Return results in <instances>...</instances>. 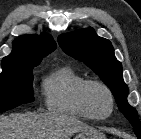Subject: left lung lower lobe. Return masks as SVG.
<instances>
[{"mask_svg":"<svg viewBox=\"0 0 141 139\" xmlns=\"http://www.w3.org/2000/svg\"><path fill=\"white\" fill-rule=\"evenodd\" d=\"M138 139H141V136H138Z\"/></svg>","mask_w":141,"mask_h":139,"instance_id":"left-lung-lower-lobe-1","label":"left lung lower lobe"}]
</instances>
